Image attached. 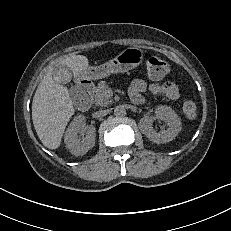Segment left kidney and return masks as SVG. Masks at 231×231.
Listing matches in <instances>:
<instances>
[{"label": "left kidney", "mask_w": 231, "mask_h": 231, "mask_svg": "<svg viewBox=\"0 0 231 231\" xmlns=\"http://www.w3.org/2000/svg\"><path fill=\"white\" fill-rule=\"evenodd\" d=\"M163 120L167 129L156 132L153 127L154 120ZM139 128L142 133L154 143H167L172 141L181 131V119L175 111L168 106H158L155 110V116H145L139 122Z\"/></svg>", "instance_id": "obj_1"}]
</instances>
